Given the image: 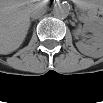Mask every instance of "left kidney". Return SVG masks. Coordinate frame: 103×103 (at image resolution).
<instances>
[{"mask_svg": "<svg viewBox=\"0 0 103 103\" xmlns=\"http://www.w3.org/2000/svg\"><path fill=\"white\" fill-rule=\"evenodd\" d=\"M92 32L93 35L88 44L79 41L76 46L81 53L91 57H98L102 54L103 36L101 31L93 30Z\"/></svg>", "mask_w": 103, "mask_h": 103, "instance_id": "left-kidney-1", "label": "left kidney"}]
</instances>
